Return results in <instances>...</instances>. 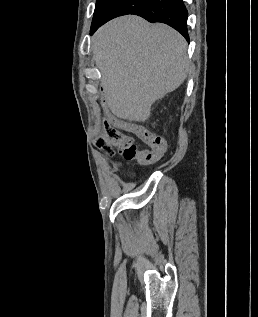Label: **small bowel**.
<instances>
[{
  "label": "small bowel",
  "mask_w": 258,
  "mask_h": 317,
  "mask_svg": "<svg viewBox=\"0 0 258 317\" xmlns=\"http://www.w3.org/2000/svg\"><path fill=\"white\" fill-rule=\"evenodd\" d=\"M115 126L136 134L151 150H159L162 157L168 150V144L162 137L137 122L119 119Z\"/></svg>",
  "instance_id": "c3829d8e"
}]
</instances>
